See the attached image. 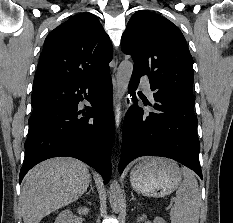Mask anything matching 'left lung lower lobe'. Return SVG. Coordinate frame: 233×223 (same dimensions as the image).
<instances>
[{
  "mask_svg": "<svg viewBox=\"0 0 233 223\" xmlns=\"http://www.w3.org/2000/svg\"><path fill=\"white\" fill-rule=\"evenodd\" d=\"M141 76L133 70L129 94L134 102H137L135 90ZM153 98V108L157 113L143 111L137 104L126 113L119 173L133 159L151 155L174 159L192 169L202 179L194 100L156 95Z\"/></svg>",
  "mask_w": 233,
  "mask_h": 223,
  "instance_id": "0a47b994",
  "label": "left lung lower lobe"
}]
</instances>
